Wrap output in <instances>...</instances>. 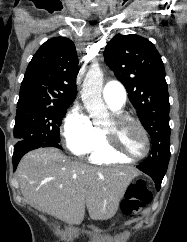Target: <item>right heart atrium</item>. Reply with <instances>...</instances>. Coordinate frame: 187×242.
<instances>
[{
    "label": "right heart atrium",
    "mask_w": 187,
    "mask_h": 242,
    "mask_svg": "<svg viewBox=\"0 0 187 242\" xmlns=\"http://www.w3.org/2000/svg\"><path fill=\"white\" fill-rule=\"evenodd\" d=\"M63 136L68 150L77 156L88 154L101 138L99 129L78 107L73 108L66 116Z\"/></svg>",
    "instance_id": "d8ad5b80"
}]
</instances>
